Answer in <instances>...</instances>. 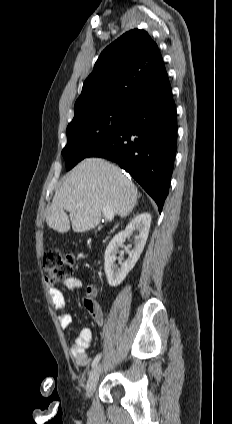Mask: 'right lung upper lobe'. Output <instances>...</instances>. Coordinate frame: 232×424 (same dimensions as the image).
Instances as JSON below:
<instances>
[{
    "label": "right lung upper lobe",
    "instance_id": "obj_1",
    "mask_svg": "<svg viewBox=\"0 0 232 424\" xmlns=\"http://www.w3.org/2000/svg\"><path fill=\"white\" fill-rule=\"evenodd\" d=\"M167 77L158 46L148 33L128 31L100 54L75 103V115L99 105L132 106Z\"/></svg>",
    "mask_w": 232,
    "mask_h": 424
}]
</instances>
